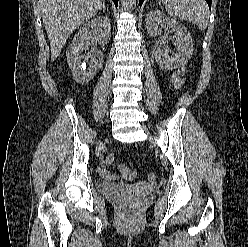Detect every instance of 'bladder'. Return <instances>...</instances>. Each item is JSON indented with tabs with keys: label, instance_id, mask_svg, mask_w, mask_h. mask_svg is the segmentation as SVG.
<instances>
[{
	"label": "bladder",
	"instance_id": "bladder-1",
	"mask_svg": "<svg viewBox=\"0 0 248 247\" xmlns=\"http://www.w3.org/2000/svg\"><path fill=\"white\" fill-rule=\"evenodd\" d=\"M124 190L125 188L116 184H102L100 186L101 193L110 196H116L122 193Z\"/></svg>",
	"mask_w": 248,
	"mask_h": 247
}]
</instances>
